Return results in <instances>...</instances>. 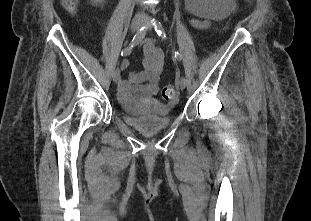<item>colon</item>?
I'll use <instances>...</instances> for the list:
<instances>
[{"label":"colon","mask_w":311,"mask_h":221,"mask_svg":"<svg viewBox=\"0 0 311 221\" xmlns=\"http://www.w3.org/2000/svg\"><path fill=\"white\" fill-rule=\"evenodd\" d=\"M62 7L70 14L76 15L79 7V0H60ZM177 88L174 84L164 85L162 89V97L165 101L172 103L177 98Z\"/></svg>","instance_id":"1"}]
</instances>
